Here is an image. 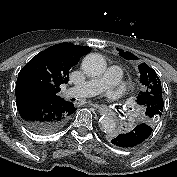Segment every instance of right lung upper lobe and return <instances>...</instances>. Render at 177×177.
Masks as SVG:
<instances>
[{
  "label": "right lung upper lobe",
  "mask_w": 177,
  "mask_h": 177,
  "mask_svg": "<svg viewBox=\"0 0 177 177\" xmlns=\"http://www.w3.org/2000/svg\"><path fill=\"white\" fill-rule=\"evenodd\" d=\"M90 47L70 43L53 45L34 56L19 72L15 93L61 99L60 85L68 83L70 69Z\"/></svg>",
  "instance_id": "right-lung-upper-lobe-1"
}]
</instances>
